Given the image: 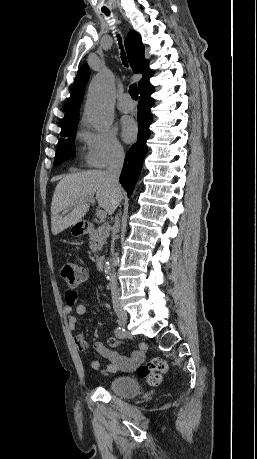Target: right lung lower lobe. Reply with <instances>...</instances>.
Listing matches in <instances>:
<instances>
[{
	"instance_id": "1",
	"label": "right lung lower lobe",
	"mask_w": 257,
	"mask_h": 459,
	"mask_svg": "<svg viewBox=\"0 0 257 459\" xmlns=\"http://www.w3.org/2000/svg\"><path fill=\"white\" fill-rule=\"evenodd\" d=\"M153 91L154 88L149 82L139 89L138 140L127 152L120 175V183L126 190L128 197H130L138 179V175L142 168V162L147 152L146 140L150 135L149 125L152 122L150 108L154 104V100L151 97Z\"/></svg>"
}]
</instances>
